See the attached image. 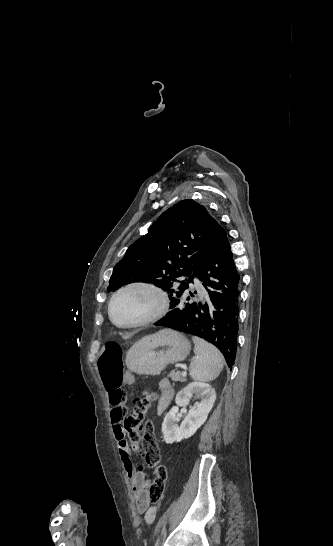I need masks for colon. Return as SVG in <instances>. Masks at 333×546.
Listing matches in <instances>:
<instances>
[{
    "label": "colon",
    "mask_w": 333,
    "mask_h": 546,
    "mask_svg": "<svg viewBox=\"0 0 333 546\" xmlns=\"http://www.w3.org/2000/svg\"><path fill=\"white\" fill-rule=\"evenodd\" d=\"M98 370L105 389L110 393L121 392L123 384L122 348L117 342L111 341L102 349L98 360ZM122 393V392H121ZM160 398L157 393L150 394L145 399H137L130 415L124 420V428L127 433L131 448L135 453L144 457V464L154 468L155 477L148 489V502H160L165 494L168 471L161 464V454L157 439L154 435V425L146 420V413L151 402ZM121 396H115L113 402L120 401Z\"/></svg>",
    "instance_id": "1"
}]
</instances>
